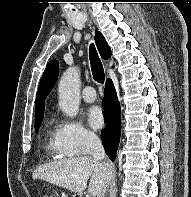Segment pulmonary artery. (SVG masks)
<instances>
[{"instance_id":"1","label":"pulmonary artery","mask_w":191,"mask_h":197,"mask_svg":"<svg viewBox=\"0 0 191 197\" xmlns=\"http://www.w3.org/2000/svg\"><path fill=\"white\" fill-rule=\"evenodd\" d=\"M82 98L87 103L94 102L96 100L95 90L90 86L85 87L82 91Z\"/></svg>"}]
</instances>
